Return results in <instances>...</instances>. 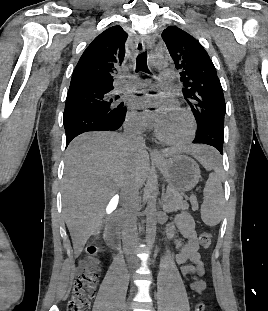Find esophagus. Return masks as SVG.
I'll use <instances>...</instances> for the list:
<instances>
[{"mask_svg":"<svg viewBox=\"0 0 268 311\" xmlns=\"http://www.w3.org/2000/svg\"><path fill=\"white\" fill-rule=\"evenodd\" d=\"M148 45V41L145 37L141 36L139 37L137 43H136V50L137 52H142L145 50L146 46ZM152 154L159 155V151L157 148L152 149Z\"/></svg>","mask_w":268,"mask_h":311,"instance_id":"obj_1","label":"esophagus"}]
</instances>
